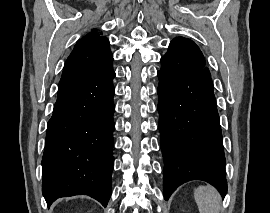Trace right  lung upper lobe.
I'll list each match as a JSON object with an SVG mask.
<instances>
[{
    "label": "right lung upper lobe",
    "instance_id": "obj_1",
    "mask_svg": "<svg viewBox=\"0 0 270 213\" xmlns=\"http://www.w3.org/2000/svg\"><path fill=\"white\" fill-rule=\"evenodd\" d=\"M112 61L109 40L93 29L74 46L64 65L58 88L106 75L113 70Z\"/></svg>",
    "mask_w": 270,
    "mask_h": 213
}]
</instances>
